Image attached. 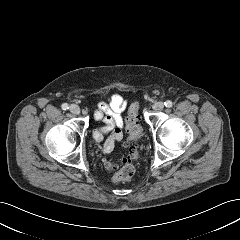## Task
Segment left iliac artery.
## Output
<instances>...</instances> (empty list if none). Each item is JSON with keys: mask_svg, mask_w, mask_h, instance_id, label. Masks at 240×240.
Wrapping results in <instances>:
<instances>
[{"mask_svg": "<svg viewBox=\"0 0 240 240\" xmlns=\"http://www.w3.org/2000/svg\"><path fill=\"white\" fill-rule=\"evenodd\" d=\"M164 105H165L166 107L170 108V107H172L173 103H172V101L167 100V101L164 103Z\"/></svg>", "mask_w": 240, "mask_h": 240, "instance_id": "44dca946", "label": "left iliac artery"}]
</instances>
